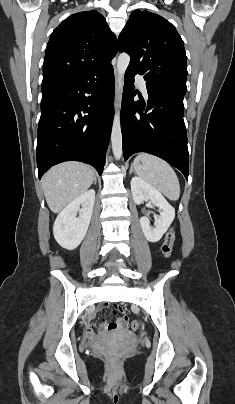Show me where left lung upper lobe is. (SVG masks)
Wrapping results in <instances>:
<instances>
[{
  "label": "left lung upper lobe",
  "instance_id": "5c2ea615",
  "mask_svg": "<svg viewBox=\"0 0 235 404\" xmlns=\"http://www.w3.org/2000/svg\"><path fill=\"white\" fill-rule=\"evenodd\" d=\"M130 55L128 70L144 75L146 84L186 93L187 57L175 27L149 11L135 10L118 39Z\"/></svg>",
  "mask_w": 235,
  "mask_h": 404
}]
</instances>
